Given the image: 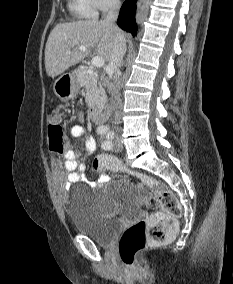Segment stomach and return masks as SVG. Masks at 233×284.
I'll return each mask as SVG.
<instances>
[{"instance_id":"1","label":"stomach","mask_w":233,"mask_h":284,"mask_svg":"<svg viewBox=\"0 0 233 284\" xmlns=\"http://www.w3.org/2000/svg\"><path fill=\"white\" fill-rule=\"evenodd\" d=\"M81 86V80L78 74L61 75L54 83L53 90L61 100L74 98Z\"/></svg>"}]
</instances>
